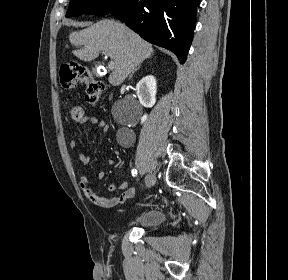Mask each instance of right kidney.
I'll use <instances>...</instances> for the list:
<instances>
[{"instance_id":"ca27d5eb","label":"right kidney","mask_w":288,"mask_h":280,"mask_svg":"<svg viewBox=\"0 0 288 280\" xmlns=\"http://www.w3.org/2000/svg\"><path fill=\"white\" fill-rule=\"evenodd\" d=\"M156 79L154 76L149 75L142 78L136 85V94L139 102L146 108H151L156 102ZM147 114L142 117V123L146 121Z\"/></svg>"}]
</instances>
